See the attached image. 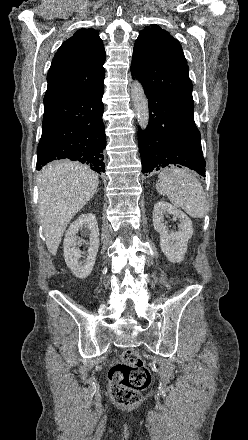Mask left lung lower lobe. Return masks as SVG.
<instances>
[{
    "label": "left lung lower lobe",
    "mask_w": 248,
    "mask_h": 440,
    "mask_svg": "<svg viewBox=\"0 0 248 440\" xmlns=\"http://www.w3.org/2000/svg\"><path fill=\"white\" fill-rule=\"evenodd\" d=\"M148 98L149 123L138 131L142 173L182 165L205 177L200 132L194 116L187 114L159 92L144 88Z\"/></svg>",
    "instance_id": "1"
}]
</instances>
